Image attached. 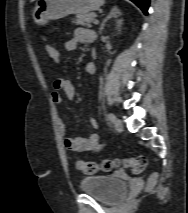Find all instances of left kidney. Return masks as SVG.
<instances>
[{"instance_id": "obj_1", "label": "left kidney", "mask_w": 188, "mask_h": 213, "mask_svg": "<svg viewBox=\"0 0 188 213\" xmlns=\"http://www.w3.org/2000/svg\"><path fill=\"white\" fill-rule=\"evenodd\" d=\"M121 25H122V20H118L117 21V28H118L119 31H120Z\"/></svg>"}]
</instances>
